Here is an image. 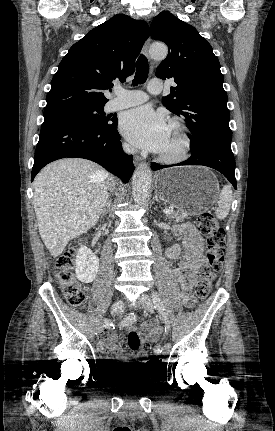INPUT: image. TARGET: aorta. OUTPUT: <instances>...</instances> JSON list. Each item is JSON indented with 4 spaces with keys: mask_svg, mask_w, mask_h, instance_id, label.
Returning a JSON list of instances; mask_svg holds the SVG:
<instances>
[{
    "mask_svg": "<svg viewBox=\"0 0 275 431\" xmlns=\"http://www.w3.org/2000/svg\"><path fill=\"white\" fill-rule=\"evenodd\" d=\"M150 56L155 60L166 58L168 50L165 45L154 44L149 50ZM152 171L148 164L142 163L135 170L132 178V195L138 204H143L149 196L151 189Z\"/></svg>",
    "mask_w": 275,
    "mask_h": 431,
    "instance_id": "obj_1",
    "label": "aorta"
}]
</instances>
